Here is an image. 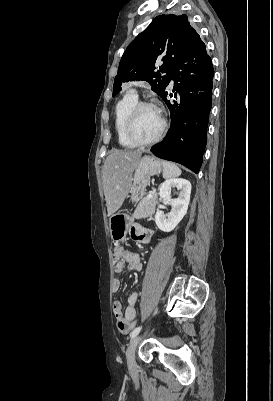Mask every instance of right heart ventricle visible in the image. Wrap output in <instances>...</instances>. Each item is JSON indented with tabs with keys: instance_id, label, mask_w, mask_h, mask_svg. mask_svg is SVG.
Returning <instances> with one entry per match:
<instances>
[{
	"instance_id": "e07e8e85",
	"label": "right heart ventricle",
	"mask_w": 273,
	"mask_h": 401,
	"mask_svg": "<svg viewBox=\"0 0 273 401\" xmlns=\"http://www.w3.org/2000/svg\"><path fill=\"white\" fill-rule=\"evenodd\" d=\"M138 103L137 94L127 93L123 95L114 105V128L120 146L128 149L136 148L138 145L130 142L124 135L123 127L126 118L135 104Z\"/></svg>"
}]
</instances>
